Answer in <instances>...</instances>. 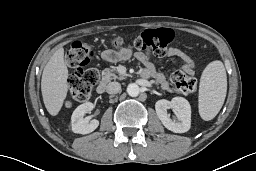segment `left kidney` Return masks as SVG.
<instances>
[{
	"mask_svg": "<svg viewBox=\"0 0 256 171\" xmlns=\"http://www.w3.org/2000/svg\"><path fill=\"white\" fill-rule=\"evenodd\" d=\"M155 109L158 118L168 130L175 133H184L190 129L191 106L185 98L174 97L171 101L158 100L155 104ZM169 109H172L178 120L170 118Z\"/></svg>",
	"mask_w": 256,
	"mask_h": 171,
	"instance_id": "5707ae66",
	"label": "left kidney"
}]
</instances>
